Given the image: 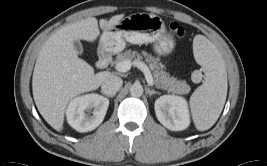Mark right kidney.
Instances as JSON below:
<instances>
[{"label":"right kidney","mask_w":267,"mask_h":166,"mask_svg":"<svg viewBox=\"0 0 267 166\" xmlns=\"http://www.w3.org/2000/svg\"><path fill=\"white\" fill-rule=\"evenodd\" d=\"M109 106V100L98 94L79 96L70 101L66 110L67 121L79 132L96 129L103 121ZM94 109L88 116L86 111Z\"/></svg>","instance_id":"obj_1"}]
</instances>
